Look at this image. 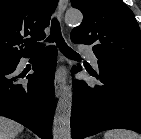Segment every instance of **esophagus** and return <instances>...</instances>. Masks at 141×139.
Segmentation results:
<instances>
[{"instance_id":"34e87169","label":"esophagus","mask_w":141,"mask_h":139,"mask_svg":"<svg viewBox=\"0 0 141 139\" xmlns=\"http://www.w3.org/2000/svg\"><path fill=\"white\" fill-rule=\"evenodd\" d=\"M68 5V0H60L59 2V16L62 19L64 11ZM66 68L60 65L55 76V96L59 98L65 86Z\"/></svg>"}]
</instances>
